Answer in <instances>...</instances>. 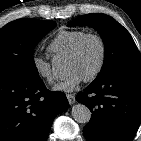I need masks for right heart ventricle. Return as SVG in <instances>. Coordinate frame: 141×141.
Wrapping results in <instances>:
<instances>
[{"mask_svg": "<svg viewBox=\"0 0 141 141\" xmlns=\"http://www.w3.org/2000/svg\"><path fill=\"white\" fill-rule=\"evenodd\" d=\"M87 32L83 30H63L60 31L48 45V50L53 56H68L76 43Z\"/></svg>", "mask_w": 141, "mask_h": 141, "instance_id": "obj_1", "label": "right heart ventricle"}]
</instances>
